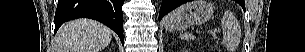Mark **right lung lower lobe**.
<instances>
[{"label":"right lung lower lobe","instance_id":"obj_1","mask_svg":"<svg viewBox=\"0 0 305 52\" xmlns=\"http://www.w3.org/2000/svg\"><path fill=\"white\" fill-rule=\"evenodd\" d=\"M124 0H59L55 14V32L66 21L76 18H91L102 22L123 39Z\"/></svg>","mask_w":305,"mask_h":52}]
</instances>
